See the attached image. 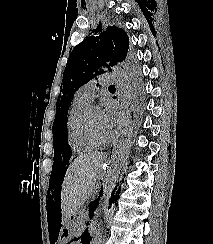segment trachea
Segmentation results:
<instances>
[{"instance_id":"3493384b","label":"trachea","mask_w":213,"mask_h":244,"mask_svg":"<svg viewBox=\"0 0 213 244\" xmlns=\"http://www.w3.org/2000/svg\"><path fill=\"white\" fill-rule=\"evenodd\" d=\"M109 87H110V88H111V87L113 88V87H115V86H114V85H111V86H109Z\"/></svg>"}]
</instances>
